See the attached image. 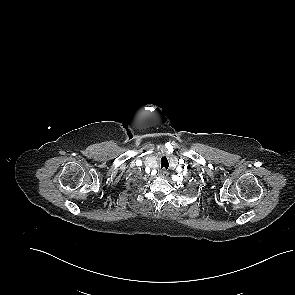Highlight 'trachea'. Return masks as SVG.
I'll list each match as a JSON object with an SVG mask.
<instances>
[{
    "label": "trachea",
    "mask_w": 295,
    "mask_h": 295,
    "mask_svg": "<svg viewBox=\"0 0 295 295\" xmlns=\"http://www.w3.org/2000/svg\"><path fill=\"white\" fill-rule=\"evenodd\" d=\"M168 167H169L168 160H167V158L164 156V157L161 158V168L168 169Z\"/></svg>",
    "instance_id": "trachea-1"
}]
</instances>
